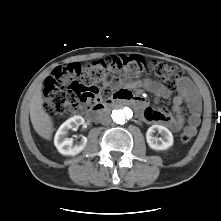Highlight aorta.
I'll return each instance as SVG.
<instances>
[{"instance_id": "obj_1", "label": "aorta", "mask_w": 221, "mask_h": 221, "mask_svg": "<svg viewBox=\"0 0 221 221\" xmlns=\"http://www.w3.org/2000/svg\"><path fill=\"white\" fill-rule=\"evenodd\" d=\"M132 116L130 108L118 109L112 112V119L117 124H124L127 119Z\"/></svg>"}]
</instances>
